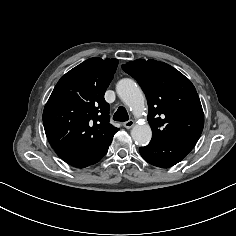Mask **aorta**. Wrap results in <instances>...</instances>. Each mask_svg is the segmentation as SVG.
I'll use <instances>...</instances> for the list:
<instances>
[{"mask_svg":"<svg viewBox=\"0 0 236 236\" xmlns=\"http://www.w3.org/2000/svg\"><path fill=\"white\" fill-rule=\"evenodd\" d=\"M119 98L138 116L144 110V95L137 83L129 78L121 79L116 85ZM132 139L136 144L144 146L152 137V131L148 124H136L131 130Z\"/></svg>","mask_w":236,"mask_h":236,"instance_id":"1","label":"aorta"}]
</instances>
